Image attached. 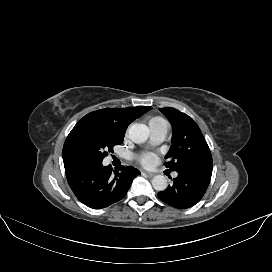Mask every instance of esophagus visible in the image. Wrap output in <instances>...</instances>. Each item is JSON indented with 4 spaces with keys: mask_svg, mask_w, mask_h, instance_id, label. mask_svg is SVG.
<instances>
[{
    "mask_svg": "<svg viewBox=\"0 0 272 272\" xmlns=\"http://www.w3.org/2000/svg\"><path fill=\"white\" fill-rule=\"evenodd\" d=\"M148 177H154L155 174L152 172H144Z\"/></svg>",
    "mask_w": 272,
    "mask_h": 272,
    "instance_id": "1",
    "label": "esophagus"
}]
</instances>
